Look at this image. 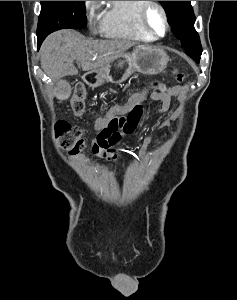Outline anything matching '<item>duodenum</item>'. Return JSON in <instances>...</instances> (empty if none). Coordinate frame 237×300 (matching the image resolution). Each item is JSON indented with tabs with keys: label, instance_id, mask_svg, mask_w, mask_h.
I'll use <instances>...</instances> for the list:
<instances>
[{
	"label": "duodenum",
	"instance_id": "410a0bca",
	"mask_svg": "<svg viewBox=\"0 0 237 300\" xmlns=\"http://www.w3.org/2000/svg\"><path fill=\"white\" fill-rule=\"evenodd\" d=\"M86 79L87 82L91 85H94L97 82L96 76L94 74H89Z\"/></svg>",
	"mask_w": 237,
	"mask_h": 300
}]
</instances>
